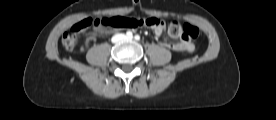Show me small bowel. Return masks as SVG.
Instances as JSON below:
<instances>
[{
    "instance_id": "c3829d8e",
    "label": "small bowel",
    "mask_w": 276,
    "mask_h": 120,
    "mask_svg": "<svg viewBox=\"0 0 276 120\" xmlns=\"http://www.w3.org/2000/svg\"><path fill=\"white\" fill-rule=\"evenodd\" d=\"M153 29L157 35H161L165 29L164 23H161L159 26L154 27ZM95 37H96V34L94 33L88 38V40H94ZM161 45L164 47L171 48L175 51H186L188 53H190L194 50V45L192 43L186 42V41H183L180 43H173V44L163 42V43H161Z\"/></svg>"
}]
</instances>
